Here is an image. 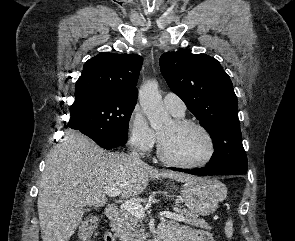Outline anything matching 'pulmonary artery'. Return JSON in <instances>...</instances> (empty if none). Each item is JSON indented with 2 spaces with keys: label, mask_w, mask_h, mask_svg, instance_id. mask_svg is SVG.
<instances>
[{
  "label": "pulmonary artery",
  "mask_w": 295,
  "mask_h": 241,
  "mask_svg": "<svg viewBox=\"0 0 295 241\" xmlns=\"http://www.w3.org/2000/svg\"><path fill=\"white\" fill-rule=\"evenodd\" d=\"M163 103L166 109L173 116H184L186 107L183 100L174 93H168L163 98Z\"/></svg>",
  "instance_id": "1"
}]
</instances>
